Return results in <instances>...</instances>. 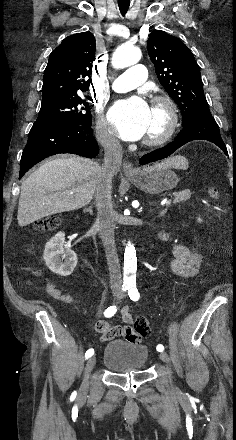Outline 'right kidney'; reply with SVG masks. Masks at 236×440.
Segmentation results:
<instances>
[{
    "label": "right kidney",
    "mask_w": 236,
    "mask_h": 440,
    "mask_svg": "<svg viewBox=\"0 0 236 440\" xmlns=\"http://www.w3.org/2000/svg\"><path fill=\"white\" fill-rule=\"evenodd\" d=\"M65 234L57 233L45 245L43 259L47 267L60 276H69L77 265L76 253L64 248Z\"/></svg>",
    "instance_id": "ca27d5eb"
}]
</instances>
